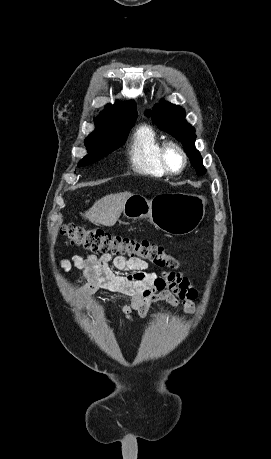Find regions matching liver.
<instances>
[{
	"instance_id": "6515ba94",
	"label": "liver",
	"mask_w": 271,
	"mask_h": 459,
	"mask_svg": "<svg viewBox=\"0 0 271 459\" xmlns=\"http://www.w3.org/2000/svg\"><path fill=\"white\" fill-rule=\"evenodd\" d=\"M132 194L130 192H122V194H110V196H105L101 198L98 202H95L94 206L82 214L83 218L96 224V226H114L117 220H119L125 202L131 198Z\"/></svg>"
}]
</instances>
